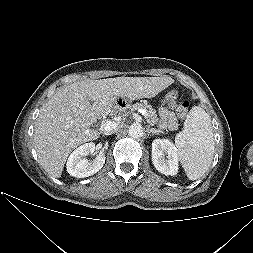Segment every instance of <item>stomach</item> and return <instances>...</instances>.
I'll return each mask as SVG.
<instances>
[{"label":"stomach","instance_id":"stomach-1","mask_svg":"<svg viewBox=\"0 0 253 253\" xmlns=\"http://www.w3.org/2000/svg\"><path fill=\"white\" fill-rule=\"evenodd\" d=\"M170 98L165 97V101H168ZM114 110H117L120 114H128L132 110V99L128 95H123L116 99L114 104Z\"/></svg>","mask_w":253,"mask_h":253}]
</instances>
